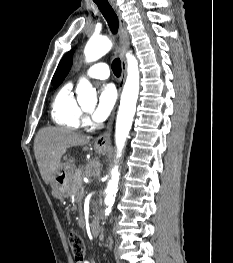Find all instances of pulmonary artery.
I'll return each mask as SVG.
<instances>
[{
    "label": "pulmonary artery",
    "instance_id": "1",
    "mask_svg": "<svg viewBox=\"0 0 233 263\" xmlns=\"http://www.w3.org/2000/svg\"><path fill=\"white\" fill-rule=\"evenodd\" d=\"M85 75L94 79H107L110 75L109 66L104 62L95 63L86 70Z\"/></svg>",
    "mask_w": 233,
    "mask_h": 263
}]
</instances>
